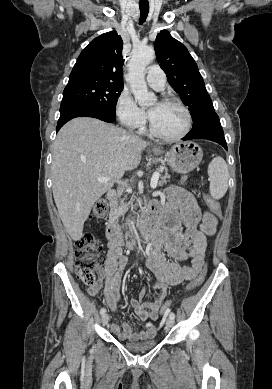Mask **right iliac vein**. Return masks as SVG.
Segmentation results:
<instances>
[{
	"label": "right iliac vein",
	"instance_id": "63e3f726",
	"mask_svg": "<svg viewBox=\"0 0 272 389\" xmlns=\"http://www.w3.org/2000/svg\"><path fill=\"white\" fill-rule=\"evenodd\" d=\"M109 321V316L107 314H103L101 318V322L103 325H107Z\"/></svg>",
	"mask_w": 272,
	"mask_h": 389
}]
</instances>
